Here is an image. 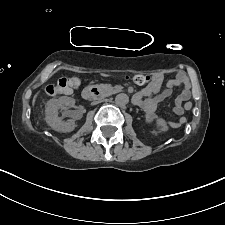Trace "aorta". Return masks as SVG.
Returning <instances> with one entry per match:
<instances>
[{"label": "aorta", "mask_w": 225, "mask_h": 225, "mask_svg": "<svg viewBox=\"0 0 225 225\" xmlns=\"http://www.w3.org/2000/svg\"><path fill=\"white\" fill-rule=\"evenodd\" d=\"M129 102V97L127 94L120 93L115 97V103L118 106H125Z\"/></svg>", "instance_id": "aorta-1"}]
</instances>
